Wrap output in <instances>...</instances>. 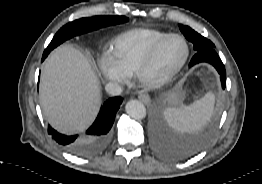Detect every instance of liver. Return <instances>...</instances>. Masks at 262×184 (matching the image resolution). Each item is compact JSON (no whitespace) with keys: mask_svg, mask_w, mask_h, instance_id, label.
Returning a JSON list of instances; mask_svg holds the SVG:
<instances>
[{"mask_svg":"<svg viewBox=\"0 0 262 184\" xmlns=\"http://www.w3.org/2000/svg\"><path fill=\"white\" fill-rule=\"evenodd\" d=\"M40 99L49 123L59 132L85 130L101 104L99 80L88 59L71 45L55 49L42 70Z\"/></svg>","mask_w":262,"mask_h":184,"instance_id":"obj_1","label":"liver"}]
</instances>
